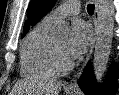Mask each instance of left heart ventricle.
<instances>
[{
	"instance_id": "left-heart-ventricle-1",
	"label": "left heart ventricle",
	"mask_w": 119,
	"mask_h": 95,
	"mask_svg": "<svg viewBox=\"0 0 119 95\" xmlns=\"http://www.w3.org/2000/svg\"><path fill=\"white\" fill-rule=\"evenodd\" d=\"M56 43L62 53V55L66 58L69 59L66 54H65V45H66V38L58 39L56 40Z\"/></svg>"
}]
</instances>
